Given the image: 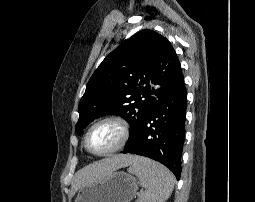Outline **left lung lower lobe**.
<instances>
[{
    "label": "left lung lower lobe",
    "mask_w": 255,
    "mask_h": 202,
    "mask_svg": "<svg viewBox=\"0 0 255 202\" xmlns=\"http://www.w3.org/2000/svg\"><path fill=\"white\" fill-rule=\"evenodd\" d=\"M187 93L184 81L161 97L146 116L141 128L122 153L156 160L179 180L185 135Z\"/></svg>",
    "instance_id": "obj_1"
}]
</instances>
